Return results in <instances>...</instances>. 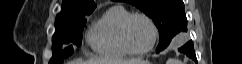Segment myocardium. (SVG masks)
<instances>
[{"label": "myocardium", "instance_id": "myocardium-1", "mask_svg": "<svg viewBox=\"0 0 242 64\" xmlns=\"http://www.w3.org/2000/svg\"><path fill=\"white\" fill-rule=\"evenodd\" d=\"M136 17L145 19L149 23V25L152 29V33H153V39H152L150 46L144 50H135L134 48H132L128 41V37H127V30H128L129 24L132 21V19H134ZM158 36H159V32H158V28H157L155 22L153 21V19L150 16H148L147 14L142 13V12L129 13L123 19L121 26H120V31H119L120 41H121V44L124 47V49L129 54L137 55V56L146 55V54L150 53L157 44Z\"/></svg>", "mask_w": 242, "mask_h": 64}]
</instances>
